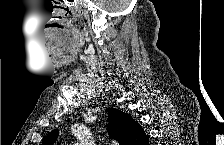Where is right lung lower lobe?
I'll list each match as a JSON object with an SVG mask.
<instances>
[{
	"instance_id": "1",
	"label": "right lung lower lobe",
	"mask_w": 224,
	"mask_h": 145,
	"mask_svg": "<svg viewBox=\"0 0 224 145\" xmlns=\"http://www.w3.org/2000/svg\"><path fill=\"white\" fill-rule=\"evenodd\" d=\"M148 142H149V138H147V139L143 142V144H144V145H148Z\"/></svg>"
}]
</instances>
